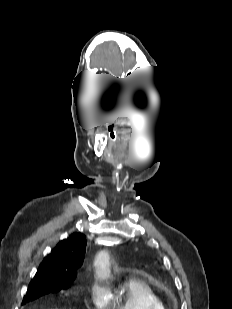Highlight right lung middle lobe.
Segmentation results:
<instances>
[{"label":"right lung middle lobe","instance_id":"obj_1","mask_svg":"<svg viewBox=\"0 0 232 309\" xmlns=\"http://www.w3.org/2000/svg\"><path fill=\"white\" fill-rule=\"evenodd\" d=\"M71 283V280H56L49 279L47 277L33 279L29 285L26 295L24 296L22 304L31 302L50 292H56L67 288Z\"/></svg>","mask_w":232,"mask_h":309}]
</instances>
